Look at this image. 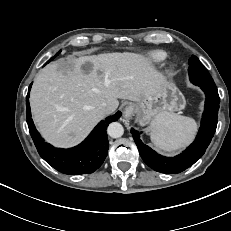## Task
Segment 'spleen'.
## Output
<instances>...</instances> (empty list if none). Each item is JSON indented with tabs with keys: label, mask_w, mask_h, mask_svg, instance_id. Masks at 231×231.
I'll return each mask as SVG.
<instances>
[{
	"label": "spleen",
	"mask_w": 231,
	"mask_h": 231,
	"mask_svg": "<svg viewBox=\"0 0 231 231\" xmlns=\"http://www.w3.org/2000/svg\"><path fill=\"white\" fill-rule=\"evenodd\" d=\"M150 129L151 140L158 149L173 151L193 139L197 124L192 118L165 112L152 121Z\"/></svg>",
	"instance_id": "spleen-1"
}]
</instances>
